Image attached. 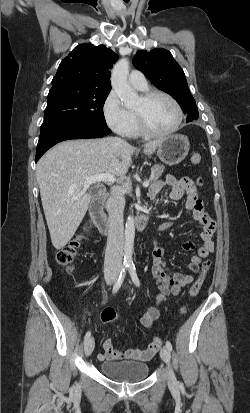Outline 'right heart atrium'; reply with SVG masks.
Here are the masks:
<instances>
[{
  "mask_svg": "<svg viewBox=\"0 0 250 413\" xmlns=\"http://www.w3.org/2000/svg\"><path fill=\"white\" fill-rule=\"evenodd\" d=\"M102 114L107 126L115 133L128 136L131 130L130 112L123 106L117 93L111 90L102 105Z\"/></svg>",
  "mask_w": 250,
  "mask_h": 413,
  "instance_id": "obj_1",
  "label": "right heart atrium"
}]
</instances>
